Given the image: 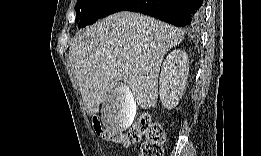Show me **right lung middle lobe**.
<instances>
[{
  "mask_svg": "<svg viewBox=\"0 0 261 156\" xmlns=\"http://www.w3.org/2000/svg\"><path fill=\"white\" fill-rule=\"evenodd\" d=\"M125 0H78L75 10L77 12L75 22L78 27H86L99 18L112 13Z\"/></svg>",
  "mask_w": 261,
  "mask_h": 156,
  "instance_id": "obj_1",
  "label": "right lung middle lobe"
}]
</instances>
